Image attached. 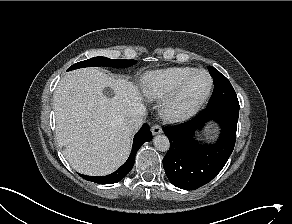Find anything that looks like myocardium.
I'll return each mask as SVG.
<instances>
[{
	"label": "myocardium",
	"instance_id": "f54148a6",
	"mask_svg": "<svg viewBox=\"0 0 292 224\" xmlns=\"http://www.w3.org/2000/svg\"><path fill=\"white\" fill-rule=\"evenodd\" d=\"M197 73H206L210 79V84L205 95L200 98L196 103L187 107L179 108L178 101L182 94V91L187 82ZM214 86V80L212 75L206 69H195L186 76H184L175 88L163 98L161 103L162 116L170 122H179L193 116L209 99Z\"/></svg>",
	"mask_w": 292,
	"mask_h": 224
}]
</instances>
